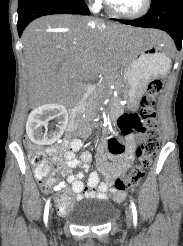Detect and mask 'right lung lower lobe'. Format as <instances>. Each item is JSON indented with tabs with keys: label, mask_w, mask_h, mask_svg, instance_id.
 Returning <instances> with one entry per match:
<instances>
[{
	"label": "right lung lower lobe",
	"mask_w": 183,
	"mask_h": 246,
	"mask_svg": "<svg viewBox=\"0 0 183 246\" xmlns=\"http://www.w3.org/2000/svg\"><path fill=\"white\" fill-rule=\"evenodd\" d=\"M52 14H81L90 12L83 0H19L18 34L34 19Z\"/></svg>",
	"instance_id": "right-lung-lower-lobe-1"
}]
</instances>
